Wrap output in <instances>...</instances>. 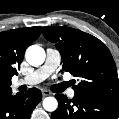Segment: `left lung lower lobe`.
<instances>
[{"mask_svg": "<svg viewBox=\"0 0 119 119\" xmlns=\"http://www.w3.org/2000/svg\"><path fill=\"white\" fill-rule=\"evenodd\" d=\"M58 108L52 119H118L119 99L107 96H89L75 93L69 100L63 94H56Z\"/></svg>", "mask_w": 119, "mask_h": 119, "instance_id": "left-lung-lower-lobe-1", "label": "left lung lower lobe"}]
</instances>
